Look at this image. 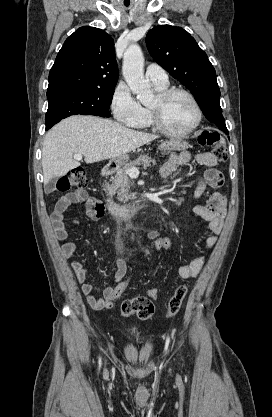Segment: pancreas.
<instances>
[{
  "label": "pancreas",
  "mask_w": 272,
  "mask_h": 417,
  "mask_svg": "<svg viewBox=\"0 0 272 417\" xmlns=\"http://www.w3.org/2000/svg\"><path fill=\"white\" fill-rule=\"evenodd\" d=\"M156 164V161L153 160L148 155H140L134 161L125 164L124 167L118 169L116 171V175L112 179V183L109 186V189L113 192L117 193V199L120 202H126L127 200L135 199V193L130 192V188L132 186V182L128 177L126 171L130 168L143 165L144 167L151 166Z\"/></svg>",
  "instance_id": "pancreas-1"
}]
</instances>
